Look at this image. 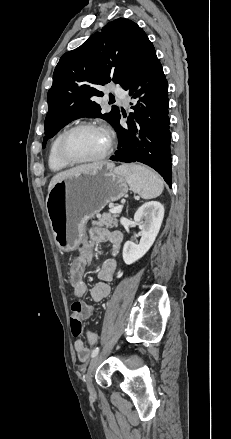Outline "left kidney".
Wrapping results in <instances>:
<instances>
[{"label":"left kidney","instance_id":"left-kidney-1","mask_svg":"<svg viewBox=\"0 0 231 439\" xmlns=\"http://www.w3.org/2000/svg\"><path fill=\"white\" fill-rule=\"evenodd\" d=\"M164 218V207L160 202L144 203L135 213L134 221L141 231L139 244L127 241L123 247V260L127 265L142 258L153 245Z\"/></svg>","mask_w":231,"mask_h":439}]
</instances>
